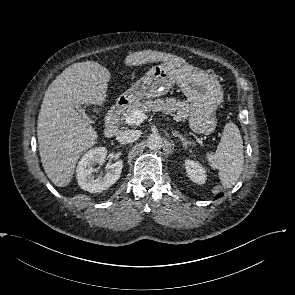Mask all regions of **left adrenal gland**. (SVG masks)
<instances>
[{
    "mask_svg": "<svg viewBox=\"0 0 295 295\" xmlns=\"http://www.w3.org/2000/svg\"><path fill=\"white\" fill-rule=\"evenodd\" d=\"M172 133L173 136L178 137L182 141V145L184 148L191 146V142L184 138L182 135H180L177 131H173Z\"/></svg>",
    "mask_w": 295,
    "mask_h": 295,
    "instance_id": "obj_1",
    "label": "left adrenal gland"
}]
</instances>
